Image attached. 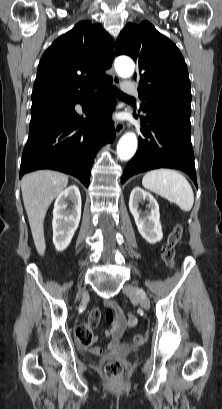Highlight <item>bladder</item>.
<instances>
[{"label":"bladder","instance_id":"31cf9c89","mask_svg":"<svg viewBox=\"0 0 222 409\" xmlns=\"http://www.w3.org/2000/svg\"><path fill=\"white\" fill-rule=\"evenodd\" d=\"M137 349H130V352H136Z\"/></svg>","mask_w":222,"mask_h":409}]
</instances>
